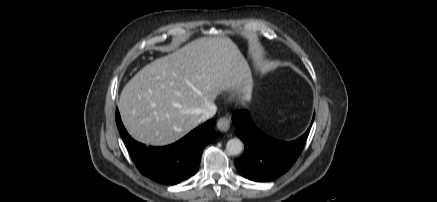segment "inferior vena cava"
<instances>
[{
	"label": "inferior vena cava",
	"mask_w": 437,
	"mask_h": 202,
	"mask_svg": "<svg viewBox=\"0 0 437 202\" xmlns=\"http://www.w3.org/2000/svg\"><path fill=\"white\" fill-rule=\"evenodd\" d=\"M217 111V107L215 104H211L209 107H207L206 109L203 110L200 118H199V122H204L210 118H212L215 113Z\"/></svg>",
	"instance_id": "602c4592"
}]
</instances>
